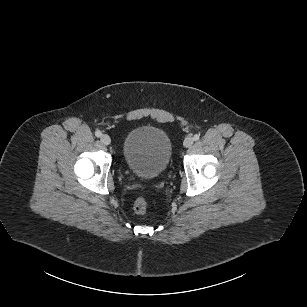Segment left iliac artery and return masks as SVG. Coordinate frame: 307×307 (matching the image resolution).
<instances>
[{"label": "left iliac artery", "mask_w": 307, "mask_h": 307, "mask_svg": "<svg viewBox=\"0 0 307 307\" xmlns=\"http://www.w3.org/2000/svg\"><path fill=\"white\" fill-rule=\"evenodd\" d=\"M199 138H200V135L199 134H195L194 137H193V140L197 141V140H199Z\"/></svg>", "instance_id": "obj_1"}]
</instances>
